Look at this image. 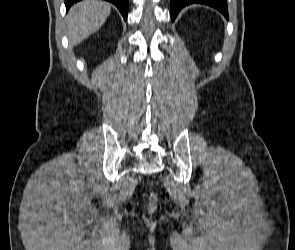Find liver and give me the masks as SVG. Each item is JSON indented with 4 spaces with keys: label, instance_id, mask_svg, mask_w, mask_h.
Masks as SVG:
<instances>
[{
    "label": "liver",
    "instance_id": "6515ba94",
    "mask_svg": "<svg viewBox=\"0 0 295 250\" xmlns=\"http://www.w3.org/2000/svg\"><path fill=\"white\" fill-rule=\"evenodd\" d=\"M107 2L85 0L71 7L67 16V32L72 46H76L98 31L110 15Z\"/></svg>",
    "mask_w": 295,
    "mask_h": 250
}]
</instances>
